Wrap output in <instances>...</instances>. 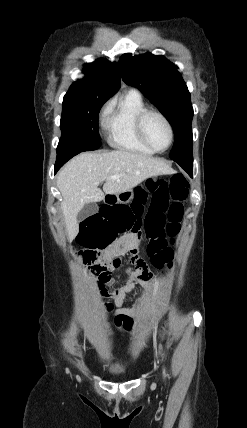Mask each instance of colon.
<instances>
[{"label": "colon", "instance_id": "5ec220e1", "mask_svg": "<svg viewBox=\"0 0 247 428\" xmlns=\"http://www.w3.org/2000/svg\"><path fill=\"white\" fill-rule=\"evenodd\" d=\"M188 187L187 179L182 174H175L169 182L160 180L149 185L151 199H148V192L140 188L135 199L130 202L117 199L114 204H102L101 212H89L75 241L86 247L80 252V256L97 280L100 294H106L112 271L119 267L121 260H108L104 254L96 251L99 247L112 246V239H121L122 232L132 231V234L144 235L148 239L147 253L152 265L158 269L170 266L172 253L165 237H173L180 231L183 202L188 196ZM136 252L137 250L133 251ZM135 263L139 266L144 261L136 257ZM134 303L145 305L146 301L136 300ZM113 324L116 329L125 331L130 330L132 325L137 326L134 318L123 317H115ZM165 331L166 327L163 326L155 339L163 337Z\"/></svg>", "mask_w": 247, "mask_h": 428}]
</instances>
